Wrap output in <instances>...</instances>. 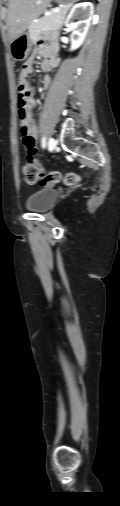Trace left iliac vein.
Masks as SVG:
<instances>
[{"instance_id":"left-iliac-vein-1","label":"left iliac vein","mask_w":120,"mask_h":506,"mask_svg":"<svg viewBox=\"0 0 120 506\" xmlns=\"http://www.w3.org/2000/svg\"><path fill=\"white\" fill-rule=\"evenodd\" d=\"M56 144H57V142H56V140L53 137L49 138V140H48V148H49L50 151H52V150H54L56 148Z\"/></svg>"}]
</instances>
